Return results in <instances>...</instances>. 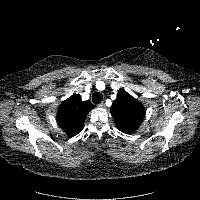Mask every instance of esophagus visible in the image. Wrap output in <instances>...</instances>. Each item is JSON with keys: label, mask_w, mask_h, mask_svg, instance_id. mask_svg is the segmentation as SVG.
<instances>
[{"label": "esophagus", "mask_w": 200, "mask_h": 200, "mask_svg": "<svg viewBox=\"0 0 200 200\" xmlns=\"http://www.w3.org/2000/svg\"><path fill=\"white\" fill-rule=\"evenodd\" d=\"M97 107H99V108H104V107H105V103H104V102H102V103L98 104V106H97Z\"/></svg>", "instance_id": "obj_1"}]
</instances>
